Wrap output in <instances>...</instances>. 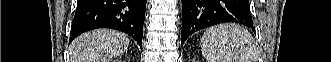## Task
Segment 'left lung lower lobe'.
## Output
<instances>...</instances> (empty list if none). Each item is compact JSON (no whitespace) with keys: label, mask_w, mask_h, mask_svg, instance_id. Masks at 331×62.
<instances>
[{"label":"left lung lower lobe","mask_w":331,"mask_h":62,"mask_svg":"<svg viewBox=\"0 0 331 62\" xmlns=\"http://www.w3.org/2000/svg\"><path fill=\"white\" fill-rule=\"evenodd\" d=\"M224 22L254 30L248 0H183L181 47L195 31Z\"/></svg>","instance_id":"obj_1"}]
</instances>
